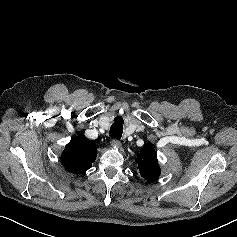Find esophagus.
<instances>
[{
  "instance_id": "esophagus-1",
  "label": "esophagus",
  "mask_w": 237,
  "mask_h": 237,
  "mask_svg": "<svg viewBox=\"0 0 237 237\" xmlns=\"http://www.w3.org/2000/svg\"><path fill=\"white\" fill-rule=\"evenodd\" d=\"M111 144H112V146H113L114 148H117V149H121V148H122L121 142H120L119 140H117V139H113V140L111 141Z\"/></svg>"
}]
</instances>
